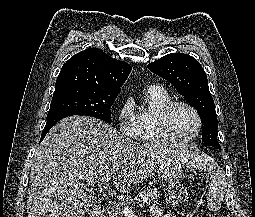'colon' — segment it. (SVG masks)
<instances>
[{"instance_id":"colon-1","label":"colon","mask_w":255,"mask_h":217,"mask_svg":"<svg viewBox=\"0 0 255 217\" xmlns=\"http://www.w3.org/2000/svg\"><path fill=\"white\" fill-rule=\"evenodd\" d=\"M168 199L173 204H178L186 199V190L180 182H173L169 186ZM208 205L212 211H216L220 207V195L215 186L210 188L208 194Z\"/></svg>"}]
</instances>
